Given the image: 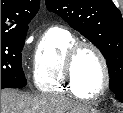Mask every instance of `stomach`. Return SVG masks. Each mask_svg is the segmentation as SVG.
<instances>
[{
    "mask_svg": "<svg viewBox=\"0 0 123 113\" xmlns=\"http://www.w3.org/2000/svg\"><path fill=\"white\" fill-rule=\"evenodd\" d=\"M76 113H97L95 109H85L82 111H77Z\"/></svg>",
    "mask_w": 123,
    "mask_h": 113,
    "instance_id": "obj_1",
    "label": "stomach"
}]
</instances>
